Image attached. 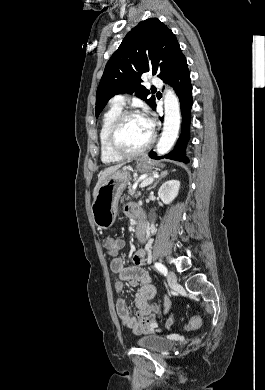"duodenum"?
<instances>
[{
	"label": "duodenum",
	"mask_w": 265,
	"mask_h": 390,
	"mask_svg": "<svg viewBox=\"0 0 265 390\" xmlns=\"http://www.w3.org/2000/svg\"><path fill=\"white\" fill-rule=\"evenodd\" d=\"M144 235H145V233L140 229V230H138V236L140 237V238H144Z\"/></svg>",
	"instance_id": "duodenum-1"
}]
</instances>
